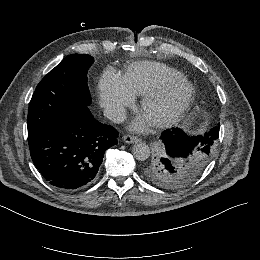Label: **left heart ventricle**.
<instances>
[{"mask_svg":"<svg viewBox=\"0 0 260 260\" xmlns=\"http://www.w3.org/2000/svg\"><path fill=\"white\" fill-rule=\"evenodd\" d=\"M186 95V88L182 84L171 87L163 98L146 113L153 119L162 117L166 112L179 105Z\"/></svg>","mask_w":260,"mask_h":260,"instance_id":"b2bd125f","label":"left heart ventricle"}]
</instances>
